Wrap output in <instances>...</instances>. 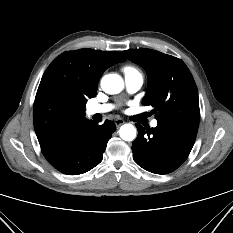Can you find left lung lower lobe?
<instances>
[{
    "mask_svg": "<svg viewBox=\"0 0 233 233\" xmlns=\"http://www.w3.org/2000/svg\"><path fill=\"white\" fill-rule=\"evenodd\" d=\"M138 136L132 144L134 161L155 174L176 170L188 157L196 139L198 126L158 123L144 129L136 124Z\"/></svg>",
    "mask_w": 233,
    "mask_h": 233,
    "instance_id": "0a47b994",
    "label": "left lung lower lobe"
}]
</instances>
